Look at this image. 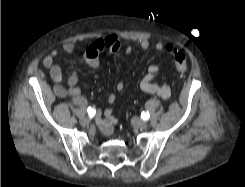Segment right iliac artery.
Masks as SVG:
<instances>
[{
	"instance_id": "obj_1",
	"label": "right iliac artery",
	"mask_w": 245,
	"mask_h": 187,
	"mask_svg": "<svg viewBox=\"0 0 245 187\" xmlns=\"http://www.w3.org/2000/svg\"><path fill=\"white\" fill-rule=\"evenodd\" d=\"M87 112L90 117H93L96 113V110L94 108L88 107Z\"/></svg>"
}]
</instances>
